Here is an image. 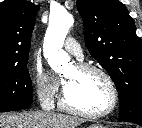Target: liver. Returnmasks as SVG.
<instances>
[{
  "instance_id": "obj_1",
  "label": "liver",
  "mask_w": 142,
  "mask_h": 128,
  "mask_svg": "<svg viewBox=\"0 0 142 128\" xmlns=\"http://www.w3.org/2000/svg\"><path fill=\"white\" fill-rule=\"evenodd\" d=\"M81 120L64 114L28 111L0 114V128H76Z\"/></svg>"
}]
</instances>
